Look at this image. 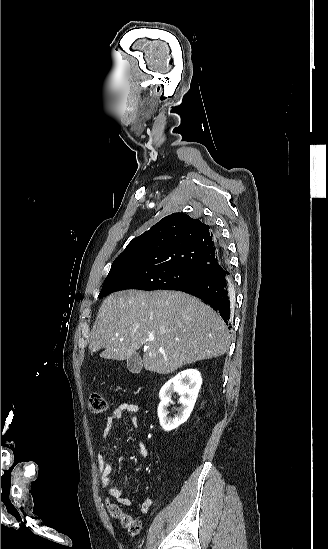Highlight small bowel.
Instances as JSON below:
<instances>
[{"instance_id": "1", "label": "small bowel", "mask_w": 328, "mask_h": 549, "mask_svg": "<svg viewBox=\"0 0 328 549\" xmlns=\"http://www.w3.org/2000/svg\"><path fill=\"white\" fill-rule=\"evenodd\" d=\"M139 412V406L136 403L132 402H123L118 405L112 412L108 415L105 425L102 430L103 437L109 435L113 425L120 420L124 415L130 416L131 423L137 427L138 421L136 414ZM148 450L143 441L139 442V456L145 458L147 456ZM98 471L101 478V485L107 489L108 495L115 499L119 504L124 506H129L132 504V501L123 495V492L113 486L111 473L112 468L106 459V455L103 451H99L96 455ZM154 500L152 498H147L141 505V511L147 513L153 506Z\"/></svg>"}]
</instances>
